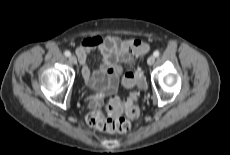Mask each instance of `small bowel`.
Returning <instances> with one entry per match:
<instances>
[{
	"label": "small bowel",
	"instance_id": "obj_1",
	"mask_svg": "<svg viewBox=\"0 0 230 155\" xmlns=\"http://www.w3.org/2000/svg\"><path fill=\"white\" fill-rule=\"evenodd\" d=\"M131 43L132 40H122L115 36H94L86 38L76 48L75 52L82 66L83 78L86 84L96 92L91 102L92 106L100 105L97 93L114 92L120 78L125 87L132 86V82L126 76L128 71H125L124 68V64L130 60L127 47ZM94 50L100 53L101 62L96 69H91L88 64V56ZM108 110L115 115L109 107Z\"/></svg>",
	"mask_w": 230,
	"mask_h": 155
}]
</instances>
